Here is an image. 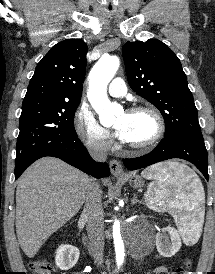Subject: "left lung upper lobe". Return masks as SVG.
Returning <instances> with one entry per match:
<instances>
[{"mask_svg": "<svg viewBox=\"0 0 215 274\" xmlns=\"http://www.w3.org/2000/svg\"><path fill=\"white\" fill-rule=\"evenodd\" d=\"M122 52L130 87L159 109L165 137L203 138L187 77L174 52L157 39L126 42Z\"/></svg>", "mask_w": 215, "mask_h": 274, "instance_id": "obj_1", "label": "left lung upper lobe"}]
</instances>
